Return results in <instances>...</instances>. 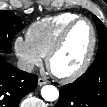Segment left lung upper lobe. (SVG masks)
Here are the masks:
<instances>
[{"mask_svg":"<svg viewBox=\"0 0 107 107\" xmlns=\"http://www.w3.org/2000/svg\"><path fill=\"white\" fill-rule=\"evenodd\" d=\"M96 25H97V30H98V35H99V49L98 51H103L105 54V61L107 64V29L104 26V24L96 17L93 16ZM88 78V72L86 71L85 74H83L81 77H79L77 80L82 81V80H87Z\"/></svg>","mask_w":107,"mask_h":107,"instance_id":"left-lung-upper-lobe-1","label":"left lung upper lobe"}]
</instances>
